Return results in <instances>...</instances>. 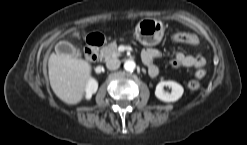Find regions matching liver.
I'll return each instance as SVG.
<instances>
[{
	"mask_svg": "<svg viewBox=\"0 0 247 145\" xmlns=\"http://www.w3.org/2000/svg\"><path fill=\"white\" fill-rule=\"evenodd\" d=\"M91 71V64L83 59L52 53L48 60L51 88L60 100L70 105L83 99Z\"/></svg>",
	"mask_w": 247,
	"mask_h": 145,
	"instance_id": "1",
	"label": "liver"
}]
</instances>
